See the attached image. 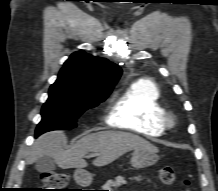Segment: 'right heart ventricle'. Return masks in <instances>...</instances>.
Here are the masks:
<instances>
[{"label": "right heart ventricle", "mask_w": 218, "mask_h": 191, "mask_svg": "<svg viewBox=\"0 0 218 191\" xmlns=\"http://www.w3.org/2000/svg\"><path fill=\"white\" fill-rule=\"evenodd\" d=\"M165 111L158 86L150 80H138L116 99L108 122L121 129L155 137L165 130L162 121Z\"/></svg>", "instance_id": "right-heart-ventricle-1"}]
</instances>
